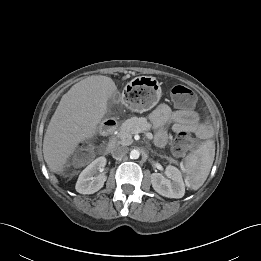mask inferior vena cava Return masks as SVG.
Segmentation results:
<instances>
[{
  "instance_id": "1",
  "label": "inferior vena cava",
  "mask_w": 261,
  "mask_h": 261,
  "mask_svg": "<svg viewBox=\"0 0 261 261\" xmlns=\"http://www.w3.org/2000/svg\"><path fill=\"white\" fill-rule=\"evenodd\" d=\"M128 152V147L125 146H115L112 150H111V154L114 158L116 159H120L122 157H124Z\"/></svg>"
}]
</instances>
